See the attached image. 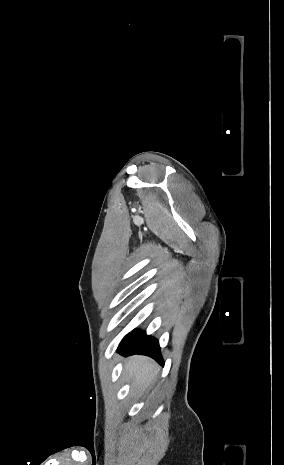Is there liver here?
<instances>
[{
    "mask_svg": "<svg viewBox=\"0 0 284 465\" xmlns=\"http://www.w3.org/2000/svg\"><path fill=\"white\" fill-rule=\"evenodd\" d=\"M155 363L148 357H132L129 359L125 369L128 379H132L138 393H145L150 383H154V379L158 371H153Z\"/></svg>",
    "mask_w": 284,
    "mask_h": 465,
    "instance_id": "liver-1",
    "label": "liver"
}]
</instances>
